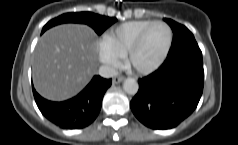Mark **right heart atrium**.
Wrapping results in <instances>:
<instances>
[{
  "instance_id": "d8ad5b80",
  "label": "right heart atrium",
  "mask_w": 238,
  "mask_h": 145,
  "mask_svg": "<svg viewBox=\"0 0 238 145\" xmlns=\"http://www.w3.org/2000/svg\"><path fill=\"white\" fill-rule=\"evenodd\" d=\"M99 60L109 72L115 71L120 66V57L103 43L99 48Z\"/></svg>"
}]
</instances>
